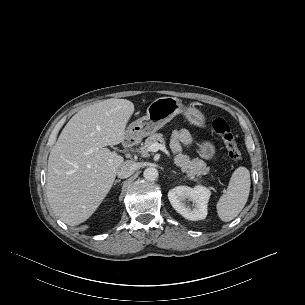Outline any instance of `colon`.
Wrapping results in <instances>:
<instances>
[{
  "mask_svg": "<svg viewBox=\"0 0 305 305\" xmlns=\"http://www.w3.org/2000/svg\"><path fill=\"white\" fill-rule=\"evenodd\" d=\"M213 130L222 139L232 160L238 161L241 153L229 124L223 118H216L212 123Z\"/></svg>",
  "mask_w": 305,
  "mask_h": 305,
  "instance_id": "obj_1",
  "label": "colon"
}]
</instances>
